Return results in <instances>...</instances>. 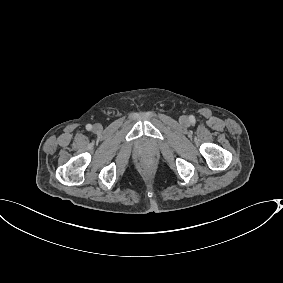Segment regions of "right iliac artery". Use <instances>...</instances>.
<instances>
[{
    "label": "right iliac artery",
    "instance_id": "right-iliac-artery-1",
    "mask_svg": "<svg viewBox=\"0 0 283 283\" xmlns=\"http://www.w3.org/2000/svg\"><path fill=\"white\" fill-rule=\"evenodd\" d=\"M86 129H87L88 131H90V130L92 129V125H91V124H87V125H86Z\"/></svg>",
    "mask_w": 283,
    "mask_h": 283
}]
</instances>
